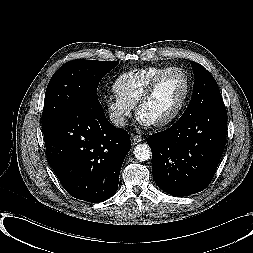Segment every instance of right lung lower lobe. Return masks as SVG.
<instances>
[{"label": "right lung lower lobe", "instance_id": "1", "mask_svg": "<svg viewBox=\"0 0 253 253\" xmlns=\"http://www.w3.org/2000/svg\"><path fill=\"white\" fill-rule=\"evenodd\" d=\"M43 134L48 161L71 196L98 203L116 192L131 142L109 123L99 101L75 106Z\"/></svg>", "mask_w": 253, "mask_h": 253}]
</instances>
